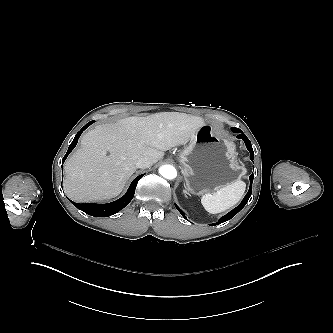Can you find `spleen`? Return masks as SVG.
<instances>
[{
    "label": "spleen",
    "mask_w": 333,
    "mask_h": 333,
    "mask_svg": "<svg viewBox=\"0 0 333 333\" xmlns=\"http://www.w3.org/2000/svg\"><path fill=\"white\" fill-rule=\"evenodd\" d=\"M246 190V183L242 180L228 184L212 194L202 197L201 203L205 210L211 214L224 212L235 206Z\"/></svg>",
    "instance_id": "1"
}]
</instances>
